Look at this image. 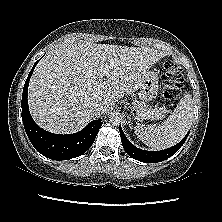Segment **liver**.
Returning a JSON list of instances; mask_svg holds the SVG:
<instances>
[{"label": "liver", "mask_w": 222, "mask_h": 222, "mask_svg": "<svg viewBox=\"0 0 222 222\" xmlns=\"http://www.w3.org/2000/svg\"><path fill=\"white\" fill-rule=\"evenodd\" d=\"M166 54L147 47L89 42L60 45L37 64L28 88L35 122L56 134L75 133L139 89L143 75ZM103 109L93 114L91 106Z\"/></svg>", "instance_id": "6515ba94"}]
</instances>
